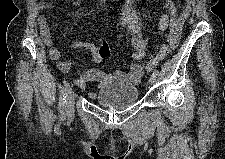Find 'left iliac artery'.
<instances>
[{
  "label": "left iliac artery",
  "instance_id": "44dca946",
  "mask_svg": "<svg viewBox=\"0 0 225 159\" xmlns=\"http://www.w3.org/2000/svg\"><path fill=\"white\" fill-rule=\"evenodd\" d=\"M153 74L156 75V76H158V75H159V70L155 69V70L153 71Z\"/></svg>",
  "mask_w": 225,
  "mask_h": 159
}]
</instances>
